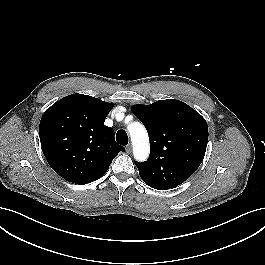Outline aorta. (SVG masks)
I'll return each instance as SVG.
<instances>
[{
  "label": "aorta",
  "instance_id": "obj_1",
  "mask_svg": "<svg viewBox=\"0 0 265 265\" xmlns=\"http://www.w3.org/2000/svg\"><path fill=\"white\" fill-rule=\"evenodd\" d=\"M133 145V154L138 161H145L150 152L149 137L145 127L138 122L128 126Z\"/></svg>",
  "mask_w": 265,
  "mask_h": 265
}]
</instances>
